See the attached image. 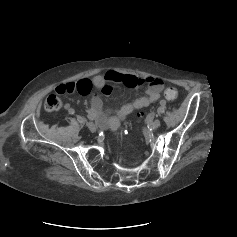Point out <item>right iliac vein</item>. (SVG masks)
<instances>
[{"instance_id":"63e3f726","label":"right iliac vein","mask_w":237,"mask_h":237,"mask_svg":"<svg viewBox=\"0 0 237 237\" xmlns=\"http://www.w3.org/2000/svg\"><path fill=\"white\" fill-rule=\"evenodd\" d=\"M87 127L90 131L94 132L96 130V125L93 122H88Z\"/></svg>"}]
</instances>
